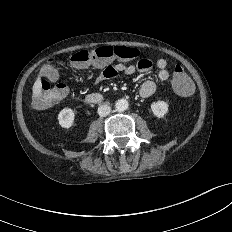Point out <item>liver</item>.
Listing matches in <instances>:
<instances>
[{"instance_id":"1","label":"liver","mask_w":232,"mask_h":232,"mask_svg":"<svg viewBox=\"0 0 232 232\" xmlns=\"http://www.w3.org/2000/svg\"><path fill=\"white\" fill-rule=\"evenodd\" d=\"M41 90H42L41 79L40 76H38L33 85V89H32L33 95L37 97L41 93Z\"/></svg>"}]
</instances>
